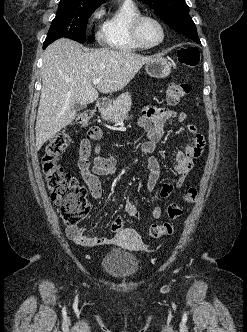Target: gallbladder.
<instances>
[{"label":"gallbladder","instance_id":"obj_1","mask_svg":"<svg viewBox=\"0 0 247 332\" xmlns=\"http://www.w3.org/2000/svg\"><path fill=\"white\" fill-rule=\"evenodd\" d=\"M74 108L78 111V110H81V109L86 108V105H84V104H80V103H76V104L74 105Z\"/></svg>","mask_w":247,"mask_h":332}]
</instances>
